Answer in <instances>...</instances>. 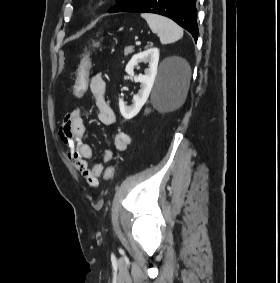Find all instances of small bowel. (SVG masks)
Segmentation results:
<instances>
[{"instance_id":"small-bowel-1","label":"small bowel","mask_w":280,"mask_h":283,"mask_svg":"<svg viewBox=\"0 0 280 283\" xmlns=\"http://www.w3.org/2000/svg\"><path fill=\"white\" fill-rule=\"evenodd\" d=\"M90 92L94 97L97 107V117L101 124L111 126L115 122V115L105 99L106 83L100 74L90 78ZM59 137L67 148V154L74 167L81 173L89 186L97 187L99 178L104 173V165L96 162L91 167L88 161L93 156V149L90 144L85 143V125L81 108L69 112L63 119L59 131ZM131 144L130 136L125 132H118L114 137V150L124 152ZM105 163L114 159V151L107 149L102 154Z\"/></svg>"}]
</instances>
